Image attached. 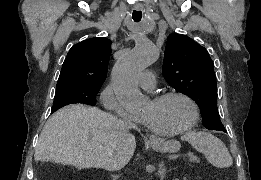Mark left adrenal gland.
<instances>
[{"instance_id": "1", "label": "left adrenal gland", "mask_w": 261, "mask_h": 180, "mask_svg": "<svg viewBox=\"0 0 261 180\" xmlns=\"http://www.w3.org/2000/svg\"><path fill=\"white\" fill-rule=\"evenodd\" d=\"M167 172H168V170H166L164 162H161V164H159V168H158V176H159L160 180H164Z\"/></svg>"}]
</instances>
